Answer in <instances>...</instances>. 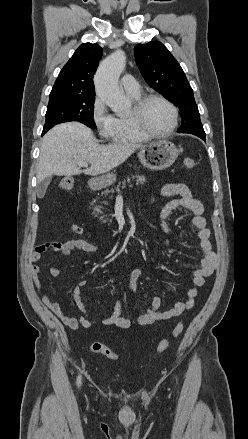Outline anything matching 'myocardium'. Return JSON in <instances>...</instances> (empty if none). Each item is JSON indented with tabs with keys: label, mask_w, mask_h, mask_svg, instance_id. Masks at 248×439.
<instances>
[{
	"label": "myocardium",
	"mask_w": 248,
	"mask_h": 439,
	"mask_svg": "<svg viewBox=\"0 0 248 439\" xmlns=\"http://www.w3.org/2000/svg\"><path fill=\"white\" fill-rule=\"evenodd\" d=\"M152 100H160L164 102L172 111L173 123L170 129L164 133H156L150 130L145 122V108L147 104ZM132 120L139 131L151 138H166L173 134L178 126V109L177 107L166 97L159 94H147L138 98L131 112Z\"/></svg>",
	"instance_id": "1"
}]
</instances>
